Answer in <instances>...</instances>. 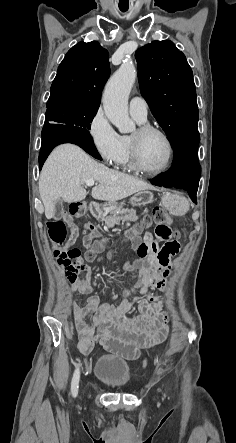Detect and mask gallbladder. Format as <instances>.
I'll return each mask as SVG.
<instances>
[{
	"mask_svg": "<svg viewBox=\"0 0 236 443\" xmlns=\"http://www.w3.org/2000/svg\"><path fill=\"white\" fill-rule=\"evenodd\" d=\"M63 216V200L59 199L55 202L54 219H60Z\"/></svg>",
	"mask_w": 236,
	"mask_h": 443,
	"instance_id": "obj_1",
	"label": "gallbladder"
}]
</instances>
